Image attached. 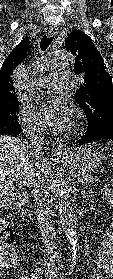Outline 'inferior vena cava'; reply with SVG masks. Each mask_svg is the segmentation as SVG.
Wrapping results in <instances>:
<instances>
[{
  "label": "inferior vena cava",
  "instance_id": "1",
  "mask_svg": "<svg viewBox=\"0 0 113 279\" xmlns=\"http://www.w3.org/2000/svg\"><path fill=\"white\" fill-rule=\"evenodd\" d=\"M28 148L36 155H41L44 146V137L40 129L36 126L30 128L28 132ZM47 175L38 171L36 178L32 185L34 191V201L36 207V214L38 218V227L40 228L43 242L45 244L46 252L53 253L56 249L55 231L52 222V205L49 201V189L47 186ZM48 272L55 273V264L49 263Z\"/></svg>",
  "mask_w": 113,
  "mask_h": 279
}]
</instances>
